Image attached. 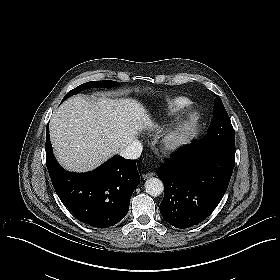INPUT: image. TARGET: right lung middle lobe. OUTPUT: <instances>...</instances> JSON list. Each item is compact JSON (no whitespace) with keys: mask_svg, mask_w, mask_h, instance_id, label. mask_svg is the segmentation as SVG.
<instances>
[{"mask_svg":"<svg viewBox=\"0 0 280 280\" xmlns=\"http://www.w3.org/2000/svg\"><path fill=\"white\" fill-rule=\"evenodd\" d=\"M118 82L116 81H109V80H105V81H91V82H87V83H83L81 85H79L78 87H76L75 89L69 91L66 96L63 98L62 102L64 100H66L68 97L79 93L80 91H83L84 89L87 88H110L113 87L115 85H117Z\"/></svg>","mask_w":280,"mask_h":280,"instance_id":"right-lung-middle-lobe-1","label":"right lung middle lobe"}]
</instances>
